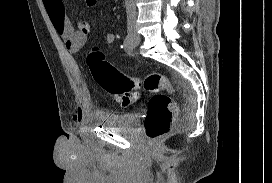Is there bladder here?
I'll list each match as a JSON object with an SVG mask.
<instances>
[{
    "mask_svg": "<svg viewBox=\"0 0 272 183\" xmlns=\"http://www.w3.org/2000/svg\"><path fill=\"white\" fill-rule=\"evenodd\" d=\"M99 121L105 127L131 131L137 126L139 115L137 113L107 114Z\"/></svg>",
    "mask_w": 272,
    "mask_h": 183,
    "instance_id": "1",
    "label": "bladder"
}]
</instances>
